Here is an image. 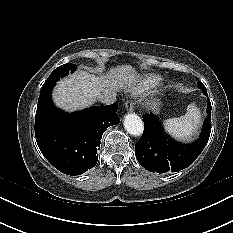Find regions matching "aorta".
I'll list each match as a JSON object with an SVG mask.
<instances>
[{
	"label": "aorta",
	"instance_id": "obj_1",
	"mask_svg": "<svg viewBox=\"0 0 233 233\" xmlns=\"http://www.w3.org/2000/svg\"><path fill=\"white\" fill-rule=\"evenodd\" d=\"M124 127L130 135L136 137L141 136L144 131L143 121L135 113H130L125 116Z\"/></svg>",
	"mask_w": 233,
	"mask_h": 233
}]
</instances>
